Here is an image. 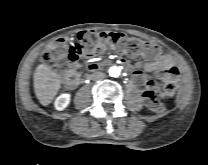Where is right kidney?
<instances>
[{"label": "right kidney", "mask_w": 208, "mask_h": 165, "mask_svg": "<svg viewBox=\"0 0 208 165\" xmlns=\"http://www.w3.org/2000/svg\"><path fill=\"white\" fill-rule=\"evenodd\" d=\"M71 95L69 93L61 94L56 98L54 106L58 111L64 110L70 103Z\"/></svg>", "instance_id": "1"}]
</instances>
